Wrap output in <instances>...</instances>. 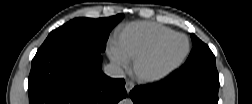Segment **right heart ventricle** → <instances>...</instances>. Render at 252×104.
<instances>
[{
  "label": "right heart ventricle",
  "instance_id": "right-heart-ventricle-1",
  "mask_svg": "<svg viewBox=\"0 0 252 104\" xmlns=\"http://www.w3.org/2000/svg\"><path fill=\"white\" fill-rule=\"evenodd\" d=\"M172 33V30L156 23L134 22L121 31L115 45L128 61H132L156 41Z\"/></svg>",
  "mask_w": 252,
  "mask_h": 104
}]
</instances>
